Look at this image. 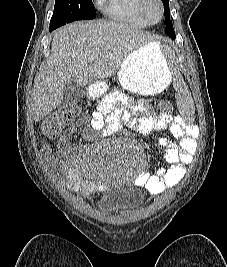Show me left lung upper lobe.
I'll return each mask as SVG.
<instances>
[{
	"instance_id": "5c2ea615",
	"label": "left lung upper lobe",
	"mask_w": 227,
	"mask_h": 267,
	"mask_svg": "<svg viewBox=\"0 0 227 267\" xmlns=\"http://www.w3.org/2000/svg\"><path fill=\"white\" fill-rule=\"evenodd\" d=\"M162 2L164 5L165 22L167 26H173L172 21L170 20L169 0H162Z\"/></svg>"
}]
</instances>
